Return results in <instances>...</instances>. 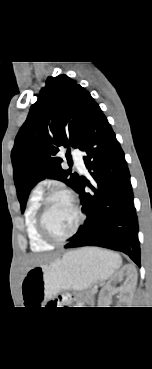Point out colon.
I'll use <instances>...</instances> for the list:
<instances>
[{"instance_id":"5ec220e1","label":"colon","mask_w":152,"mask_h":369,"mask_svg":"<svg viewBox=\"0 0 152 369\" xmlns=\"http://www.w3.org/2000/svg\"><path fill=\"white\" fill-rule=\"evenodd\" d=\"M53 305L63 304V306H67L69 304V297L62 295L55 302H52Z\"/></svg>"}]
</instances>
